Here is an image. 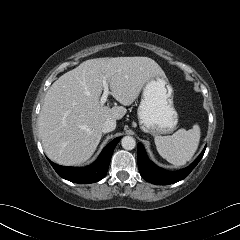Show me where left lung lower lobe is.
<instances>
[{
  "instance_id": "1",
  "label": "left lung lower lobe",
  "mask_w": 240,
  "mask_h": 240,
  "mask_svg": "<svg viewBox=\"0 0 240 240\" xmlns=\"http://www.w3.org/2000/svg\"><path fill=\"white\" fill-rule=\"evenodd\" d=\"M205 148L199 157L187 168L181 169L179 171H167L160 167H157L152 163L147 155L146 151L141 143H138V167L141 176L146 181L156 184V185H168L178 182L189 175V173L194 169L198 162L203 157Z\"/></svg>"
}]
</instances>
